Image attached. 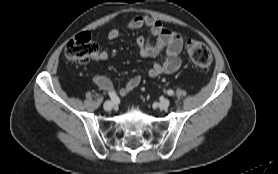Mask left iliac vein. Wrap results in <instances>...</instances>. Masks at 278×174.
I'll use <instances>...</instances> for the list:
<instances>
[{"instance_id":"left-iliac-vein-1","label":"left iliac vein","mask_w":278,"mask_h":174,"mask_svg":"<svg viewBox=\"0 0 278 174\" xmlns=\"http://www.w3.org/2000/svg\"><path fill=\"white\" fill-rule=\"evenodd\" d=\"M169 105H170V101L168 99H163L159 102L158 107L160 109L165 110L169 107Z\"/></svg>"}]
</instances>
